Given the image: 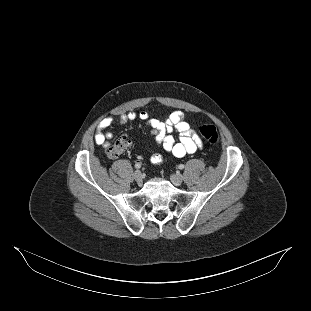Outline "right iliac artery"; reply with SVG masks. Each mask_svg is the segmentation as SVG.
<instances>
[{
  "label": "right iliac artery",
  "mask_w": 311,
  "mask_h": 311,
  "mask_svg": "<svg viewBox=\"0 0 311 311\" xmlns=\"http://www.w3.org/2000/svg\"><path fill=\"white\" fill-rule=\"evenodd\" d=\"M135 168H136V169H140V168H141V165H140L139 163H136V164H135Z\"/></svg>",
  "instance_id": "1"
}]
</instances>
